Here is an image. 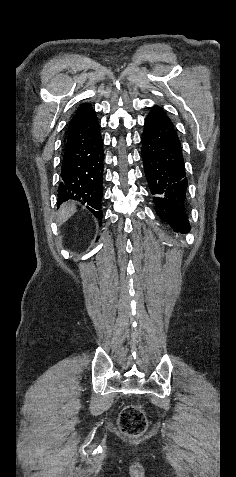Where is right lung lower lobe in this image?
<instances>
[{"label":"right lung lower lobe","instance_id":"1","mask_svg":"<svg viewBox=\"0 0 236 477\" xmlns=\"http://www.w3.org/2000/svg\"><path fill=\"white\" fill-rule=\"evenodd\" d=\"M100 127L91 112L67 134L58 187V206L67 200L87 204L95 217L102 220V180L104 154Z\"/></svg>","mask_w":236,"mask_h":477}]
</instances>
